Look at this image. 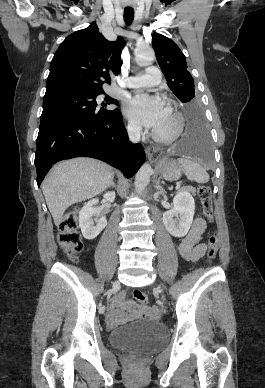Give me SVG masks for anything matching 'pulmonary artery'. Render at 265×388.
<instances>
[{
    "label": "pulmonary artery",
    "instance_id": "pulmonary-artery-1",
    "mask_svg": "<svg viewBox=\"0 0 265 388\" xmlns=\"http://www.w3.org/2000/svg\"><path fill=\"white\" fill-rule=\"evenodd\" d=\"M146 70L148 75H131L130 77H125L126 81L130 80L134 84L132 86L133 88L136 86V88L134 89V92L136 94H139L141 92V89L139 88L140 86H156V84L161 81V76L158 75L159 71L158 69H155L154 64H147ZM116 87L125 88L126 86L117 85Z\"/></svg>",
    "mask_w": 265,
    "mask_h": 388
}]
</instances>
